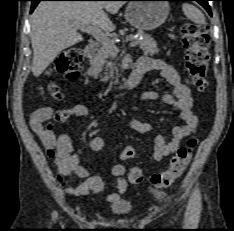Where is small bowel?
<instances>
[{"mask_svg":"<svg viewBox=\"0 0 234 231\" xmlns=\"http://www.w3.org/2000/svg\"><path fill=\"white\" fill-rule=\"evenodd\" d=\"M138 64L149 66V70L160 71L166 81L173 87V94H160L156 91L148 90L143 92L139 101H162L165 104L174 106L180 113L183 121L182 125L175 126L172 129L171 140L166 142L163 135H156L154 138L153 158L155 161H161L165 157L174 154L179 148L181 141L196 133L198 127L197 116L192 111L193 98L190 89L182 81L180 72L162 59L152 57H142ZM148 70V71H149ZM137 111V107H133ZM89 113L85 105L78 104L68 110L53 111L50 108L43 107L35 110L31 114L30 126L39 136L47 155L54 158L57 166L58 179L63 185L67 194L74 196H84L87 194H97L104 190L105 183L101 177L92 175L90 171L80 164L83 156V150L74 152L72 140L67 135L56 137L53 132L54 122H63L70 116H85ZM131 128L141 134L151 131L152 126L148 122L133 118L130 121ZM107 142L101 136L91 138L86 148L92 151H101L106 148ZM112 174L116 191L107 196V200L114 203L127 190V183L124 179L126 168L124 165L116 163L112 166ZM74 173L82 182L77 185H69L66 177Z\"/></svg>","mask_w":234,"mask_h":231,"instance_id":"small-bowel-1","label":"small bowel"}]
</instances>
